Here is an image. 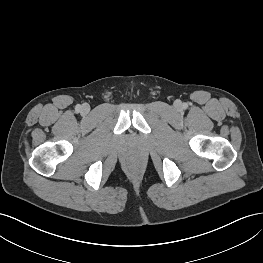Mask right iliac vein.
Masks as SVG:
<instances>
[{"label":"right iliac vein","mask_w":263,"mask_h":263,"mask_svg":"<svg viewBox=\"0 0 263 263\" xmlns=\"http://www.w3.org/2000/svg\"><path fill=\"white\" fill-rule=\"evenodd\" d=\"M89 111H90V107H89L88 104H83V105L81 106V113H82L83 115H87V114L89 113Z\"/></svg>","instance_id":"obj_1"}]
</instances>
